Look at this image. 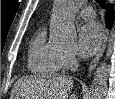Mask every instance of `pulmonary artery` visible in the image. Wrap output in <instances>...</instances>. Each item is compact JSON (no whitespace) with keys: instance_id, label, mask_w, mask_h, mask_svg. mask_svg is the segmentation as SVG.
<instances>
[{"instance_id":"e3ab8cb5","label":"pulmonary artery","mask_w":115,"mask_h":99,"mask_svg":"<svg viewBox=\"0 0 115 99\" xmlns=\"http://www.w3.org/2000/svg\"><path fill=\"white\" fill-rule=\"evenodd\" d=\"M80 15L85 19H93L95 17V12L92 7L86 6L80 10Z\"/></svg>"}]
</instances>
